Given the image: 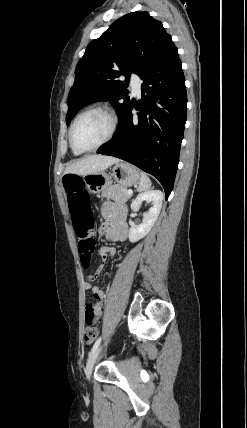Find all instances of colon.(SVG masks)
<instances>
[{
  "label": "colon",
  "instance_id": "5ec220e1",
  "mask_svg": "<svg viewBox=\"0 0 247 428\" xmlns=\"http://www.w3.org/2000/svg\"><path fill=\"white\" fill-rule=\"evenodd\" d=\"M63 186L68 199V212L73 219L75 233L78 238L81 265L89 269L92 254L95 249V240L92 237L93 216L89 208L88 194L84 181L77 175H66L63 178ZM102 300L98 298H87L84 310L86 317V328L83 339L86 343H92L97 334V323L102 319L104 310Z\"/></svg>",
  "mask_w": 247,
  "mask_h": 428
}]
</instances>
